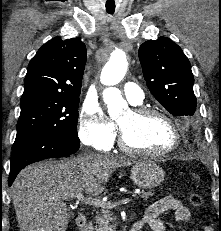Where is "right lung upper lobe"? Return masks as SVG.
Returning a JSON list of instances; mask_svg holds the SVG:
<instances>
[{"mask_svg": "<svg viewBox=\"0 0 221 231\" xmlns=\"http://www.w3.org/2000/svg\"><path fill=\"white\" fill-rule=\"evenodd\" d=\"M86 46L78 38L55 37L31 59L21 100L37 96L79 97Z\"/></svg>", "mask_w": 221, "mask_h": 231, "instance_id": "cb5924a9", "label": "right lung upper lobe"}]
</instances>
